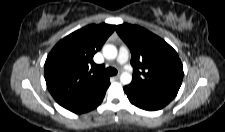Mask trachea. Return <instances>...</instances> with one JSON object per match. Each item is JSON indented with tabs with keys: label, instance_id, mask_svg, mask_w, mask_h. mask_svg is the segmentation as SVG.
<instances>
[{
	"label": "trachea",
	"instance_id": "obj_1",
	"mask_svg": "<svg viewBox=\"0 0 225 132\" xmlns=\"http://www.w3.org/2000/svg\"><path fill=\"white\" fill-rule=\"evenodd\" d=\"M105 76H113L117 74V70L115 68L109 67L103 71Z\"/></svg>",
	"mask_w": 225,
	"mask_h": 132
}]
</instances>
